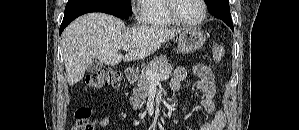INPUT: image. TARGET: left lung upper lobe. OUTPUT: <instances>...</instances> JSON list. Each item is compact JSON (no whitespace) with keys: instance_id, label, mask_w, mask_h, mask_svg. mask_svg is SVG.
<instances>
[{"instance_id":"obj_1","label":"left lung upper lobe","mask_w":299,"mask_h":130,"mask_svg":"<svg viewBox=\"0 0 299 130\" xmlns=\"http://www.w3.org/2000/svg\"><path fill=\"white\" fill-rule=\"evenodd\" d=\"M205 2L211 13L220 14L223 17L231 16L228 0H205Z\"/></svg>"}]
</instances>
